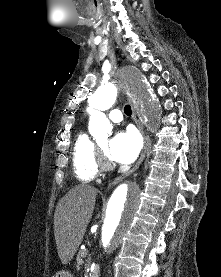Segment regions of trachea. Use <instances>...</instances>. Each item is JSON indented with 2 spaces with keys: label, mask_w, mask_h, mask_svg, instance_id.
Returning <instances> with one entry per match:
<instances>
[{
  "label": "trachea",
  "mask_w": 221,
  "mask_h": 277,
  "mask_svg": "<svg viewBox=\"0 0 221 277\" xmlns=\"http://www.w3.org/2000/svg\"><path fill=\"white\" fill-rule=\"evenodd\" d=\"M124 112H125V114L127 115V116H131V107H130V105H126L125 107H124Z\"/></svg>",
  "instance_id": "obj_1"
}]
</instances>
